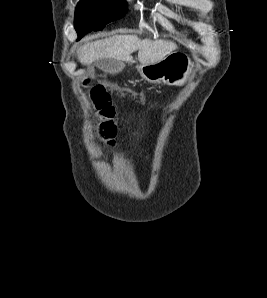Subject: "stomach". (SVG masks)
<instances>
[{
	"label": "stomach",
	"instance_id": "0dacf381",
	"mask_svg": "<svg viewBox=\"0 0 267 298\" xmlns=\"http://www.w3.org/2000/svg\"><path fill=\"white\" fill-rule=\"evenodd\" d=\"M190 58L184 53H171L163 60L154 64H141V76L150 83H166L182 86L191 73Z\"/></svg>",
	"mask_w": 267,
	"mask_h": 298
}]
</instances>
